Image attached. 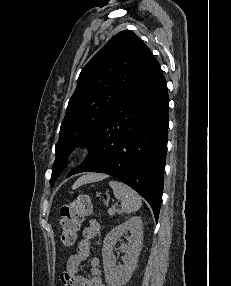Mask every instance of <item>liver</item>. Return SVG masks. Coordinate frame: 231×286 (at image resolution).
<instances>
[{"label":"liver","instance_id":"1","mask_svg":"<svg viewBox=\"0 0 231 286\" xmlns=\"http://www.w3.org/2000/svg\"><path fill=\"white\" fill-rule=\"evenodd\" d=\"M106 178L104 174H87L81 178H79L73 185L72 189H76L83 184L99 181Z\"/></svg>","mask_w":231,"mask_h":286}]
</instances>
